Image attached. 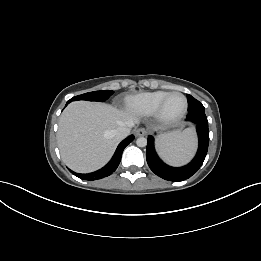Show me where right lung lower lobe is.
<instances>
[{
	"label": "right lung lower lobe",
	"mask_w": 261,
	"mask_h": 261,
	"mask_svg": "<svg viewBox=\"0 0 261 261\" xmlns=\"http://www.w3.org/2000/svg\"><path fill=\"white\" fill-rule=\"evenodd\" d=\"M69 103V101L67 102V104ZM66 104V105H67ZM134 136L131 135L128 138H126L125 140H123L117 147L112 159L109 161V163L107 165H105L103 168L92 172V173H88V174H79V173H75L73 171L70 170V172L74 175H76L78 178H81L83 180H88V181H93V180H98L104 177H107L109 175H111L118 167L120 161H121V157H122V152L124 150V148L133 141Z\"/></svg>",
	"instance_id": "1"
}]
</instances>
